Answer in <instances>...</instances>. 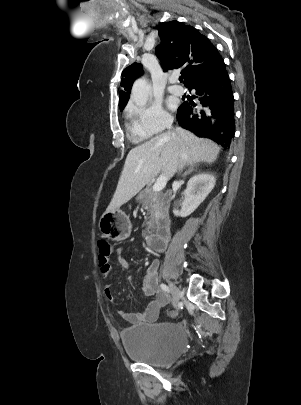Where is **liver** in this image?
Segmentation results:
<instances>
[{
    "label": "liver",
    "instance_id": "liver-1",
    "mask_svg": "<svg viewBox=\"0 0 301 405\" xmlns=\"http://www.w3.org/2000/svg\"><path fill=\"white\" fill-rule=\"evenodd\" d=\"M182 146L188 153V165L201 161L213 163L220 152V147L213 141L186 130H182L181 135L169 131L155 136L128 153L107 211L127 203L161 171L167 178L172 177L177 171Z\"/></svg>",
    "mask_w": 301,
    "mask_h": 405
}]
</instances>
